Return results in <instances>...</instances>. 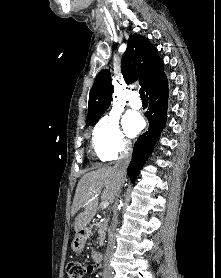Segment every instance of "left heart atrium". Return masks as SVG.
Returning <instances> with one entry per match:
<instances>
[{"mask_svg": "<svg viewBox=\"0 0 221 278\" xmlns=\"http://www.w3.org/2000/svg\"><path fill=\"white\" fill-rule=\"evenodd\" d=\"M123 125L126 133L133 137L143 128V120L136 113H128L123 119Z\"/></svg>", "mask_w": 221, "mask_h": 278, "instance_id": "39dd6f15", "label": "left heart atrium"}]
</instances>
